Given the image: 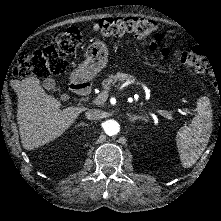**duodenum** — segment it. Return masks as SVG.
Wrapping results in <instances>:
<instances>
[{
    "label": "duodenum",
    "instance_id": "1",
    "mask_svg": "<svg viewBox=\"0 0 221 221\" xmlns=\"http://www.w3.org/2000/svg\"><path fill=\"white\" fill-rule=\"evenodd\" d=\"M71 88L77 95L86 96L90 92V83L83 75H77L71 81Z\"/></svg>",
    "mask_w": 221,
    "mask_h": 221
}]
</instances>
